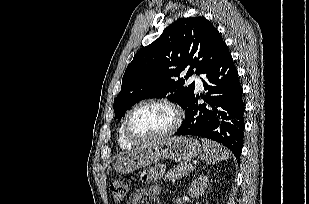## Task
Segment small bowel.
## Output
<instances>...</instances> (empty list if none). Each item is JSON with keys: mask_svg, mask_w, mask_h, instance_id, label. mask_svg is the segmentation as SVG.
I'll return each instance as SVG.
<instances>
[{"mask_svg": "<svg viewBox=\"0 0 309 204\" xmlns=\"http://www.w3.org/2000/svg\"><path fill=\"white\" fill-rule=\"evenodd\" d=\"M162 172L161 168H150L146 171H144L142 175V179L144 182H150L153 179L156 178L157 175H159ZM141 199V194L137 193L132 196L130 204H139Z\"/></svg>", "mask_w": 309, "mask_h": 204, "instance_id": "obj_1", "label": "small bowel"}]
</instances>
